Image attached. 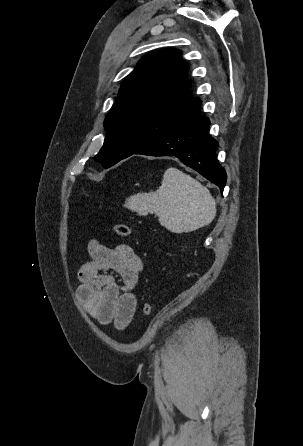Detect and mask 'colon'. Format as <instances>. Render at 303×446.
Masks as SVG:
<instances>
[{
  "mask_svg": "<svg viewBox=\"0 0 303 446\" xmlns=\"http://www.w3.org/2000/svg\"><path fill=\"white\" fill-rule=\"evenodd\" d=\"M114 232L120 237H128L131 234V228L124 223H117L113 225ZM153 310V305L150 302H146L143 305L142 312L144 315L151 314Z\"/></svg>",
  "mask_w": 303,
  "mask_h": 446,
  "instance_id": "obj_1",
  "label": "colon"
}]
</instances>
